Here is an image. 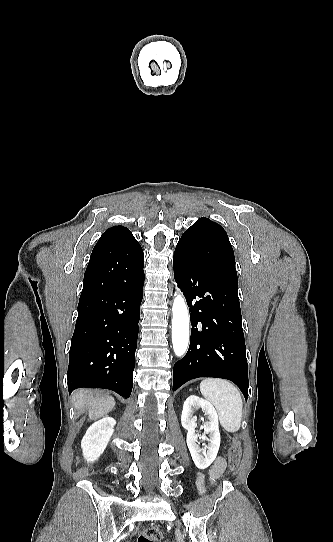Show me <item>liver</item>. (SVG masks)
Returning <instances> with one entry per match:
<instances>
[{
    "label": "liver",
    "instance_id": "6515ba94",
    "mask_svg": "<svg viewBox=\"0 0 333 542\" xmlns=\"http://www.w3.org/2000/svg\"><path fill=\"white\" fill-rule=\"evenodd\" d=\"M72 400L76 410H81L83 406H90L88 408L89 420L105 418L115 406L114 398H111V396L94 398L92 390H76L72 396Z\"/></svg>",
    "mask_w": 333,
    "mask_h": 542
}]
</instances>
